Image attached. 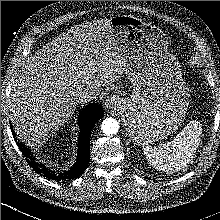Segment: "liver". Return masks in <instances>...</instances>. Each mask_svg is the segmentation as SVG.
Returning <instances> with one entry per match:
<instances>
[{
	"label": "liver",
	"mask_w": 220,
	"mask_h": 220,
	"mask_svg": "<svg viewBox=\"0 0 220 220\" xmlns=\"http://www.w3.org/2000/svg\"><path fill=\"white\" fill-rule=\"evenodd\" d=\"M125 58L111 20L73 27L29 57L12 83L9 108L20 138L45 143L72 116L84 91L122 77Z\"/></svg>",
	"instance_id": "obj_1"
}]
</instances>
